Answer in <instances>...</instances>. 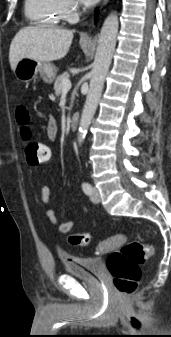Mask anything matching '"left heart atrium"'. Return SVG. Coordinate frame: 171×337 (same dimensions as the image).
<instances>
[{
    "instance_id": "1",
    "label": "left heart atrium",
    "mask_w": 171,
    "mask_h": 337,
    "mask_svg": "<svg viewBox=\"0 0 171 337\" xmlns=\"http://www.w3.org/2000/svg\"><path fill=\"white\" fill-rule=\"evenodd\" d=\"M81 1L86 5H91L95 2H97L98 0H81Z\"/></svg>"
}]
</instances>
